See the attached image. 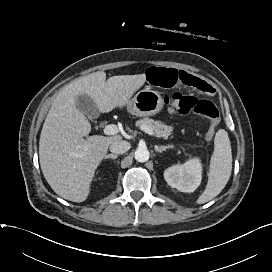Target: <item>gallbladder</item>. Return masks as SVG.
I'll return each instance as SVG.
<instances>
[{
    "label": "gallbladder",
    "mask_w": 272,
    "mask_h": 272,
    "mask_svg": "<svg viewBox=\"0 0 272 272\" xmlns=\"http://www.w3.org/2000/svg\"><path fill=\"white\" fill-rule=\"evenodd\" d=\"M77 108L90 119L96 118L99 114L95 102L87 95L77 97Z\"/></svg>",
    "instance_id": "obj_1"
}]
</instances>
